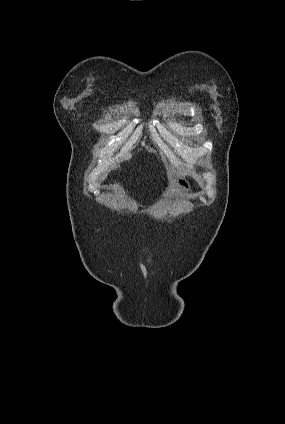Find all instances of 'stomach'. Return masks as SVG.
<instances>
[{
	"label": "stomach",
	"instance_id": "stomach-1",
	"mask_svg": "<svg viewBox=\"0 0 285 424\" xmlns=\"http://www.w3.org/2000/svg\"><path fill=\"white\" fill-rule=\"evenodd\" d=\"M171 191L185 195L191 191V186L184 177L175 176L171 183Z\"/></svg>",
	"mask_w": 285,
	"mask_h": 424
}]
</instances>
